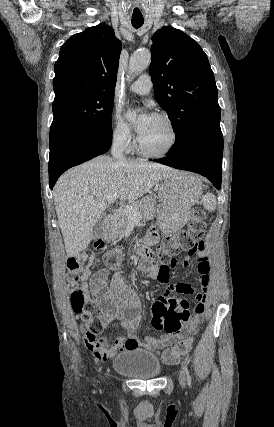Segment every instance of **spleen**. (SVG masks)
I'll list each match as a JSON object with an SVG mask.
<instances>
[{"instance_id":"spleen-1","label":"spleen","mask_w":274,"mask_h":427,"mask_svg":"<svg viewBox=\"0 0 274 427\" xmlns=\"http://www.w3.org/2000/svg\"><path fill=\"white\" fill-rule=\"evenodd\" d=\"M193 186H194V190H201L202 182L200 178H198V180H195V182H193ZM192 200H196V192L195 194H193ZM203 206L205 210H208V212H214L217 206L215 196H213V194H205V196H203Z\"/></svg>"}]
</instances>
